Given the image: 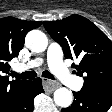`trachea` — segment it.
<instances>
[{
  "label": "trachea",
  "mask_w": 112,
  "mask_h": 112,
  "mask_svg": "<svg viewBox=\"0 0 112 112\" xmlns=\"http://www.w3.org/2000/svg\"><path fill=\"white\" fill-rule=\"evenodd\" d=\"M12 75L22 80H27V79L35 78L37 76V73L35 71H28L21 74L12 72ZM42 76L45 78L54 79V76L47 70L43 71Z\"/></svg>",
  "instance_id": "trachea-1"
}]
</instances>
